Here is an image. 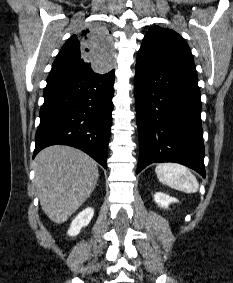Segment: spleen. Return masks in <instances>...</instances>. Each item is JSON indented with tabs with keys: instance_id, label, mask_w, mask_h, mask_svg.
Masks as SVG:
<instances>
[{
	"instance_id": "3e777b00",
	"label": "spleen",
	"mask_w": 233,
	"mask_h": 283,
	"mask_svg": "<svg viewBox=\"0 0 233 283\" xmlns=\"http://www.w3.org/2000/svg\"><path fill=\"white\" fill-rule=\"evenodd\" d=\"M155 172L158 180L176 190L185 193H195L198 191L199 184L191 171L176 163H162L157 165Z\"/></svg>"
}]
</instances>
